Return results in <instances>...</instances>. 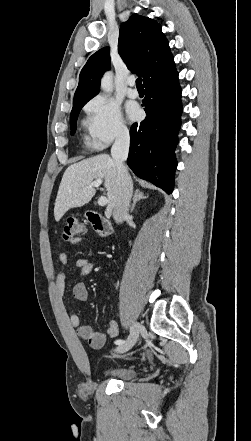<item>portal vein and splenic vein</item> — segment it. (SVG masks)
Wrapping results in <instances>:
<instances>
[{"instance_id": "portal-vein-and-splenic-vein-1", "label": "portal vein and splenic vein", "mask_w": 251, "mask_h": 441, "mask_svg": "<svg viewBox=\"0 0 251 441\" xmlns=\"http://www.w3.org/2000/svg\"><path fill=\"white\" fill-rule=\"evenodd\" d=\"M101 183H102V180L98 179V180L91 182L88 186L84 187L83 189H88V188H92V187H99L101 185ZM107 202H108V200L105 196H101L98 199L99 206H105L107 204Z\"/></svg>"}]
</instances>
